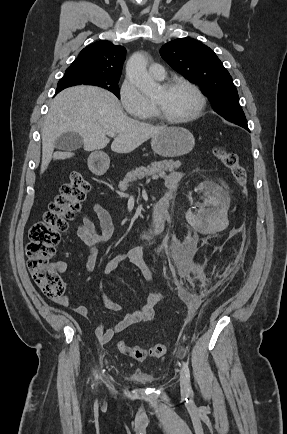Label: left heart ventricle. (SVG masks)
Here are the masks:
<instances>
[{
    "instance_id": "1",
    "label": "left heart ventricle",
    "mask_w": 287,
    "mask_h": 434,
    "mask_svg": "<svg viewBox=\"0 0 287 434\" xmlns=\"http://www.w3.org/2000/svg\"><path fill=\"white\" fill-rule=\"evenodd\" d=\"M152 100L171 118H182L191 114L197 104L193 92L183 86L168 90L159 87Z\"/></svg>"
}]
</instances>
